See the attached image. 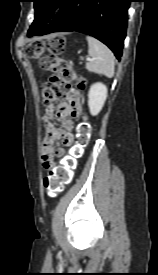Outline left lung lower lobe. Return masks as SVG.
Returning <instances> with one entry per match:
<instances>
[{"label": "left lung lower lobe", "instance_id": "left-lung-lower-lobe-1", "mask_svg": "<svg viewBox=\"0 0 158 275\" xmlns=\"http://www.w3.org/2000/svg\"><path fill=\"white\" fill-rule=\"evenodd\" d=\"M131 0H64L54 21L35 35L77 31L106 44L117 59L122 55Z\"/></svg>", "mask_w": 158, "mask_h": 275}]
</instances>
